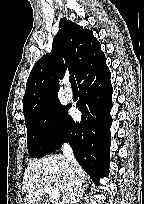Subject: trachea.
I'll return each instance as SVG.
<instances>
[{"label": "trachea", "mask_w": 144, "mask_h": 204, "mask_svg": "<svg viewBox=\"0 0 144 204\" xmlns=\"http://www.w3.org/2000/svg\"><path fill=\"white\" fill-rule=\"evenodd\" d=\"M69 81H70V83H71V87H72V88H76V87H77V84H76L74 75H70Z\"/></svg>", "instance_id": "1"}]
</instances>
